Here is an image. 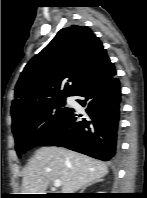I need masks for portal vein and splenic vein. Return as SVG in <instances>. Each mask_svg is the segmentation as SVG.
Segmentation results:
<instances>
[{"mask_svg":"<svg viewBox=\"0 0 147 198\" xmlns=\"http://www.w3.org/2000/svg\"><path fill=\"white\" fill-rule=\"evenodd\" d=\"M53 185H54V187H60L61 186V181L60 180H55Z\"/></svg>","mask_w":147,"mask_h":198,"instance_id":"obj_1","label":"portal vein and splenic vein"}]
</instances>
